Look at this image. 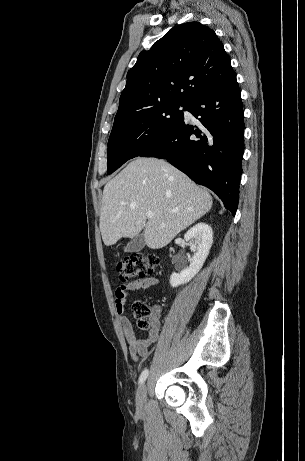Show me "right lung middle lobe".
<instances>
[{"label": "right lung middle lobe", "instance_id": "obj_1", "mask_svg": "<svg viewBox=\"0 0 305 461\" xmlns=\"http://www.w3.org/2000/svg\"><path fill=\"white\" fill-rule=\"evenodd\" d=\"M181 107L187 110L188 104H163L115 122L108 141L107 174L168 138L184 121Z\"/></svg>", "mask_w": 305, "mask_h": 461}]
</instances>
